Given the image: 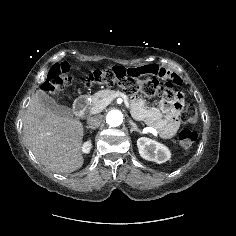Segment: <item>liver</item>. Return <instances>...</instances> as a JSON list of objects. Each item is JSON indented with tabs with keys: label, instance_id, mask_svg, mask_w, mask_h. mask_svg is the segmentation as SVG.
Instances as JSON below:
<instances>
[{
	"label": "liver",
	"instance_id": "1",
	"mask_svg": "<svg viewBox=\"0 0 236 236\" xmlns=\"http://www.w3.org/2000/svg\"><path fill=\"white\" fill-rule=\"evenodd\" d=\"M26 145L49 170L70 173L81 168L83 125L47 108L34 94L23 118Z\"/></svg>",
	"mask_w": 236,
	"mask_h": 236
}]
</instances>
